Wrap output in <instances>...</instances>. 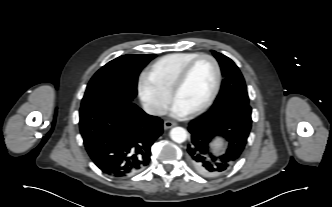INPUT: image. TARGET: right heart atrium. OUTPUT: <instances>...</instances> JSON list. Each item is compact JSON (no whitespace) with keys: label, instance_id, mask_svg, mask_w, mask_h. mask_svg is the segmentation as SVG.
<instances>
[{"label":"right heart atrium","instance_id":"right-heart-atrium-1","mask_svg":"<svg viewBox=\"0 0 332 207\" xmlns=\"http://www.w3.org/2000/svg\"><path fill=\"white\" fill-rule=\"evenodd\" d=\"M138 90L146 109L155 116L165 113L170 102V94L155 85L146 75L138 82Z\"/></svg>","mask_w":332,"mask_h":207}]
</instances>
